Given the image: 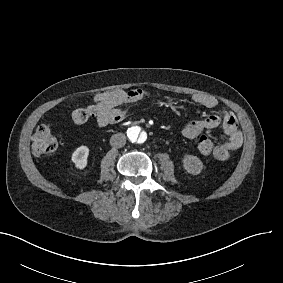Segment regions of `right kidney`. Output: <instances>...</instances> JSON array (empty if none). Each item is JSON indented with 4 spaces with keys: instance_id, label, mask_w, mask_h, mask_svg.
Instances as JSON below:
<instances>
[{
    "instance_id": "obj_1",
    "label": "right kidney",
    "mask_w": 283,
    "mask_h": 283,
    "mask_svg": "<svg viewBox=\"0 0 283 283\" xmlns=\"http://www.w3.org/2000/svg\"><path fill=\"white\" fill-rule=\"evenodd\" d=\"M87 156L88 148L85 146H81L73 153L72 160L77 164L79 168H83L86 165Z\"/></svg>"
}]
</instances>
